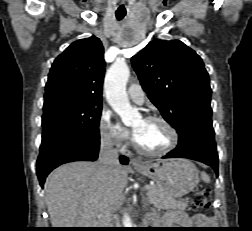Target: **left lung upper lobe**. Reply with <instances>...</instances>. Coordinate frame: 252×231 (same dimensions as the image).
I'll list each match as a JSON object with an SVG mask.
<instances>
[{
	"label": "left lung upper lobe",
	"instance_id": "5c2ea615",
	"mask_svg": "<svg viewBox=\"0 0 252 231\" xmlns=\"http://www.w3.org/2000/svg\"><path fill=\"white\" fill-rule=\"evenodd\" d=\"M132 65L151 102L178 133L193 122H212L208 73L183 42L154 40L132 57Z\"/></svg>",
	"mask_w": 252,
	"mask_h": 231
}]
</instances>
